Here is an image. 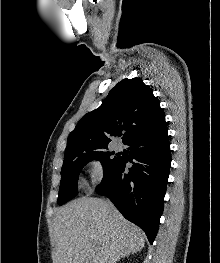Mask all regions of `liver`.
<instances>
[{"label": "liver", "instance_id": "1", "mask_svg": "<svg viewBox=\"0 0 220 263\" xmlns=\"http://www.w3.org/2000/svg\"><path fill=\"white\" fill-rule=\"evenodd\" d=\"M55 263H116L144 248L145 235L112 205L84 197L54 218Z\"/></svg>", "mask_w": 220, "mask_h": 263}]
</instances>
